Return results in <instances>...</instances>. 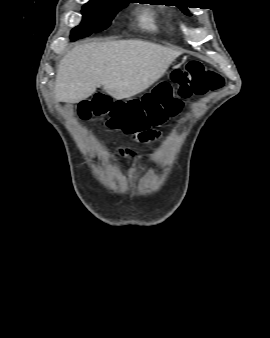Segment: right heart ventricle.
<instances>
[{
  "mask_svg": "<svg viewBox=\"0 0 270 338\" xmlns=\"http://www.w3.org/2000/svg\"><path fill=\"white\" fill-rule=\"evenodd\" d=\"M142 25L148 31H155L157 29L156 14L152 8L146 9Z\"/></svg>",
  "mask_w": 270,
  "mask_h": 338,
  "instance_id": "right-heart-ventricle-1",
  "label": "right heart ventricle"
}]
</instances>
